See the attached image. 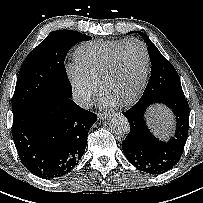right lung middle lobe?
Returning a JSON list of instances; mask_svg holds the SVG:
<instances>
[{
  "mask_svg": "<svg viewBox=\"0 0 203 203\" xmlns=\"http://www.w3.org/2000/svg\"><path fill=\"white\" fill-rule=\"evenodd\" d=\"M91 37L71 30L52 31L24 60L12 102L13 115L48 99L71 98L64 60L77 42Z\"/></svg>",
  "mask_w": 203,
  "mask_h": 203,
  "instance_id": "1",
  "label": "right lung middle lobe"
}]
</instances>
